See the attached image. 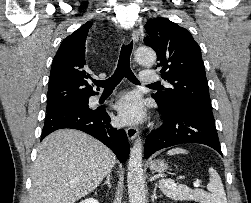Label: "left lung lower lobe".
I'll use <instances>...</instances> for the list:
<instances>
[{"mask_svg": "<svg viewBox=\"0 0 251 203\" xmlns=\"http://www.w3.org/2000/svg\"><path fill=\"white\" fill-rule=\"evenodd\" d=\"M163 125L146 138L145 158L156 151L183 143L205 144L222 155L213 114L195 107L168 112L159 106Z\"/></svg>", "mask_w": 251, "mask_h": 203, "instance_id": "0a47b994", "label": "left lung lower lobe"}]
</instances>
